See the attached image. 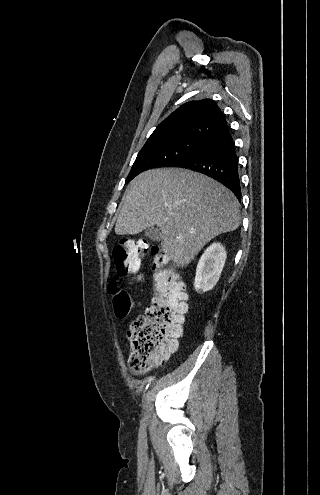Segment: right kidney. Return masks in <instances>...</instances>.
Masks as SVG:
<instances>
[{
    "label": "right kidney",
    "mask_w": 320,
    "mask_h": 495,
    "mask_svg": "<svg viewBox=\"0 0 320 495\" xmlns=\"http://www.w3.org/2000/svg\"><path fill=\"white\" fill-rule=\"evenodd\" d=\"M227 254L220 243L210 245L201 256L197 268L194 287L196 291L212 290L219 281Z\"/></svg>",
    "instance_id": "ca27d5eb"
}]
</instances>
